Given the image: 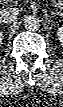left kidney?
<instances>
[{"instance_id":"1","label":"left kidney","mask_w":63,"mask_h":107,"mask_svg":"<svg viewBox=\"0 0 63 107\" xmlns=\"http://www.w3.org/2000/svg\"><path fill=\"white\" fill-rule=\"evenodd\" d=\"M56 34H57V37H58L59 42L61 43V45H63V28H62V27H59V28L57 29Z\"/></svg>"}]
</instances>
